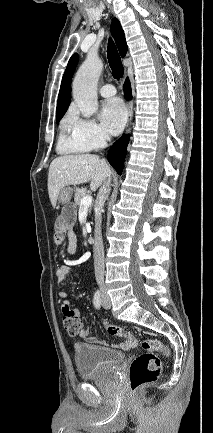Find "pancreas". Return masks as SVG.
Listing matches in <instances>:
<instances>
[{
  "label": "pancreas",
  "mask_w": 213,
  "mask_h": 433,
  "mask_svg": "<svg viewBox=\"0 0 213 433\" xmlns=\"http://www.w3.org/2000/svg\"><path fill=\"white\" fill-rule=\"evenodd\" d=\"M85 196H87V190H86V188H79V187H76V189H75V197H74L75 204H76L77 206H80V204H81V200H82ZM88 211H89V213H90V211H91V207H90V206H89V208H88Z\"/></svg>",
  "instance_id": "obj_1"
}]
</instances>
